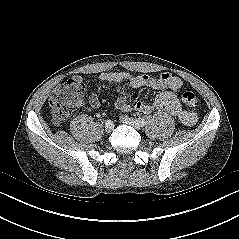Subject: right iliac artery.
Listing matches in <instances>:
<instances>
[{
	"mask_svg": "<svg viewBox=\"0 0 239 239\" xmlns=\"http://www.w3.org/2000/svg\"><path fill=\"white\" fill-rule=\"evenodd\" d=\"M105 123L108 124V125H111L112 124V120L111 119H106Z\"/></svg>",
	"mask_w": 239,
	"mask_h": 239,
	"instance_id": "obj_1",
	"label": "right iliac artery"
}]
</instances>
